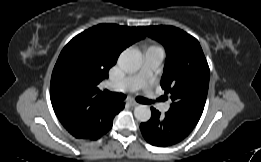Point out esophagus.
I'll list each match as a JSON object with an SVG mask.
<instances>
[{
	"mask_svg": "<svg viewBox=\"0 0 261 162\" xmlns=\"http://www.w3.org/2000/svg\"><path fill=\"white\" fill-rule=\"evenodd\" d=\"M127 104H128L129 106H131V107H136V106L139 105L138 103H136V102H134V101H128Z\"/></svg>",
	"mask_w": 261,
	"mask_h": 162,
	"instance_id": "34e87169",
	"label": "esophagus"
}]
</instances>
